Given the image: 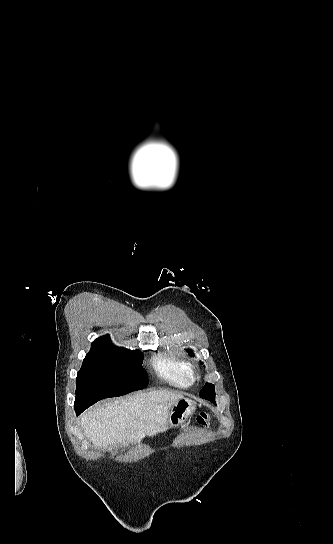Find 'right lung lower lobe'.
I'll return each instance as SVG.
<instances>
[{
    "mask_svg": "<svg viewBox=\"0 0 333 544\" xmlns=\"http://www.w3.org/2000/svg\"><path fill=\"white\" fill-rule=\"evenodd\" d=\"M75 411H76L77 415H79L83 410L78 408V407H75Z\"/></svg>",
    "mask_w": 333,
    "mask_h": 544,
    "instance_id": "right-lung-lower-lobe-1",
    "label": "right lung lower lobe"
}]
</instances>
